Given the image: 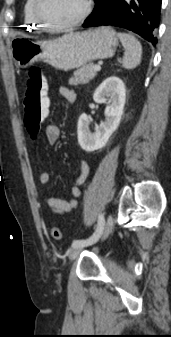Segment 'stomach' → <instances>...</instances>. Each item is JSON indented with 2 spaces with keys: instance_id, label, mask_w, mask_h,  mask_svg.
<instances>
[{
  "instance_id": "obj_1",
  "label": "stomach",
  "mask_w": 171,
  "mask_h": 337,
  "mask_svg": "<svg viewBox=\"0 0 171 337\" xmlns=\"http://www.w3.org/2000/svg\"><path fill=\"white\" fill-rule=\"evenodd\" d=\"M117 46L114 30L99 27L49 41L15 38L11 42V53L15 63L22 68L43 60L57 69L68 71L94 60L112 57Z\"/></svg>"
}]
</instances>
